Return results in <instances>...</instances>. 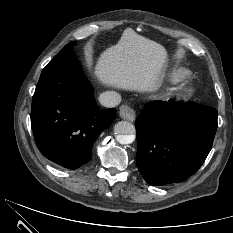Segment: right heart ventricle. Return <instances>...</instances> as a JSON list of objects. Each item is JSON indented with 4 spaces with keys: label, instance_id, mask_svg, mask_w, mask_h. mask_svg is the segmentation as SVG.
Instances as JSON below:
<instances>
[{
    "label": "right heart ventricle",
    "instance_id": "1",
    "mask_svg": "<svg viewBox=\"0 0 233 233\" xmlns=\"http://www.w3.org/2000/svg\"><path fill=\"white\" fill-rule=\"evenodd\" d=\"M189 76V71L186 69H175L171 74H170V80L173 82L182 80L186 77Z\"/></svg>",
    "mask_w": 233,
    "mask_h": 233
}]
</instances>
